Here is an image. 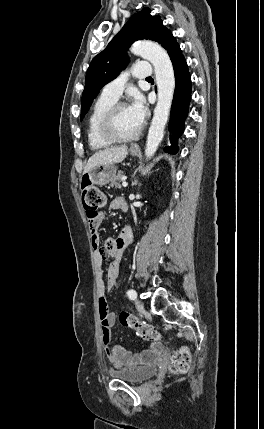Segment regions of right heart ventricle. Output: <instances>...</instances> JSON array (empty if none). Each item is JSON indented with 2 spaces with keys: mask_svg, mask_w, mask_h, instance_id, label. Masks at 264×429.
Instances as JSON below:
<instances>
[{
  "mask_svg": "<svg viewBox=\"0 0 264 429\" xmlns=\"http://www.w3.org/2000/svg\"><path fill=\"white\" fill-rule=\"evenodd\" d=\"M117 100L101 95L94 103L88 118L87 138L90 147L93 150L108 148L112 143L105 140L99 132L100 122L106 111Z\"/></svg>",
  "mask_w": 264,
  "mask_h": 429,
  "instance_id": "1",
  "label": "right heart ventricle"
}]
</instances>
